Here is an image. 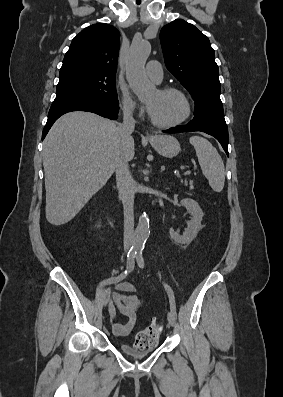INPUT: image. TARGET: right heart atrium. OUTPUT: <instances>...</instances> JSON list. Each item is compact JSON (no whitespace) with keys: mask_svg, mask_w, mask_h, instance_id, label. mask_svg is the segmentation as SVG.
Wrapping results in <instances>:
<instances>
[{"mask_svg":"<svg viewBox=\"0 0 283 397\" xmlns=\"http://www.w3.org/2000/svg\"><path fill=\"white\" fill-rule=\"evenodd\" d=\"M121 105L123 112L127 116H133L139 111L135 100L126 89L121 92Z\"/></svg>","mask_w":283,"mask_h":397,"instance_id":"obj_1","label":"right heart atrium"}]
</instances>
